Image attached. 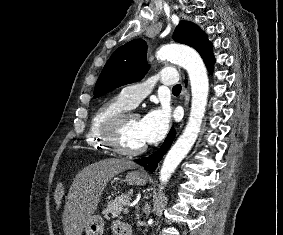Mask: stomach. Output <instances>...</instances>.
Instances as JSON below:
<instances>
[{
    "mask_svg": "<svg viewBox=\"0 0 283 235\" xmlns=\"http://www.w3.org/2000/svg\"><path fill=\"white\" fill-rule=\"evenodd\" d=\"M126 180L132 185H145L147 177L139 171H130L126 175ZM104 221L100 215H93L84 227L85 235H103Z\"/></svg>",
    "mask_w": 283,
    "mask_h": 235,
    "instance_id": "stomach-1",
    "label": "stomach"
}]
</instances>
